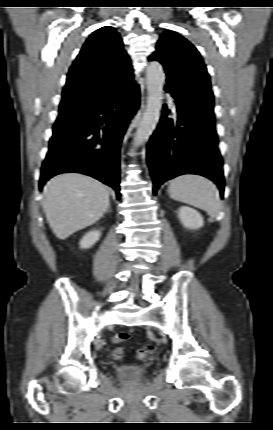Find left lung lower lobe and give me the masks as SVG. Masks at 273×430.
I'll list each match as a JSON object with an SVG mask.
<instances>
[{"mask_svg":"<svg viewBox=\"0 0 273 430\" xmlns=\"http://www.w3.org/2000/svg\"><path fill=\"white\" fill-rule=\"evenodd\" d=\"M177 120L168 118L164 106L160 122L147 146V162L153 193L165 181L182 174H198L213 180L224 193L222 158L213 119L197 116L179 104Z\"/></svg>","mask_w":273,"mask_h":430,"instance_id":"1","label":"left lung lower lobe"}]
</instances>
